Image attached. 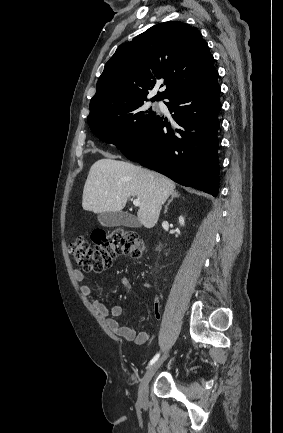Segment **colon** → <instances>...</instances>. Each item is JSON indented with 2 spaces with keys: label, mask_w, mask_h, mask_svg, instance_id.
Here are the masks:
<instances>
[{
  "label": "colon",
  "mask_w": 283,
  "mask_h": 433,
  "mask_svg": "<svg viewBox=\"0 0 283 433\" xmlns=\"http://www.w3.org/2000/svg\"><path fill=\"white\" fill-rule=\"evenodd\" d=\"M94 246L84 236H78L69 246L75 262L84 271L101 272L109 268L118 255L138 258L144 251V243L136 232L116 229L110 233H94Z\"/></svg>",
  "instance_id": "1"
}]
</instances>
